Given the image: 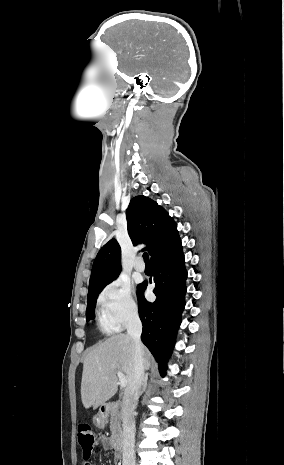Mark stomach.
I'll return each mask as SVG.
<instances>
[{
    "mask_svg": "<svg viewBox=\"0 0 284 465\" xmlns=\"http://www.w3.org/2000/svg\"><path fill=\"white\" fill-rule=\"evenodd\" d=\"M93 423L95 427H98V429H104L107 423V419L106 417H104V415H102V413H98V415H95V417H93Z\"/></svg>",
    "mask_w": 284,
    "mask_h": 465,
    "instance_id": "1",
    "label": "stomach"
}]
</instances>
